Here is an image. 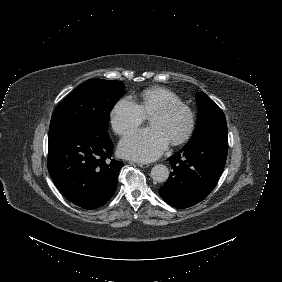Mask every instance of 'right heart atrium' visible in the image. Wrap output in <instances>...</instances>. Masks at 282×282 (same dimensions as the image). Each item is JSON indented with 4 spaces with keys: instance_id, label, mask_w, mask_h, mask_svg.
<instances>
[{
    "instance_id": "d8ad5b80",
    "label": "right heart atrium",
    "mask_w": 282,
    "mask_h": 282,
    "mask_svg": "<svg viewBox=\"0 0 282 282\" xmlns=\"http://www.w3.org/2000/svg\"><path fill=\"white\" fill-rule=\"evenodd\" d=\"M144 120L145 115L140 108L128 98L118 102L111 111L112 128L118 135L125 134Z\"/></svg>"
}]
</instances>
